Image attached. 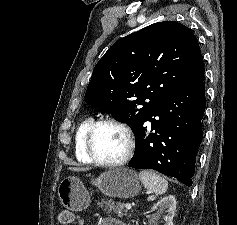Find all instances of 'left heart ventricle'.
<instances>
[{"label":"left heart ventricle","instance_id":"b2bd125f","mask_svg":"<svg viewBox=\"0 0 237 225\" xmlns=\"http://www.w3.org/2000/svg\"><path fill=\"white\" fill-rule=\"evenodd\" d=\"M124 133L112 125L98 127L93 138V149L98 158L106 161L120 159L126 152Z\"/></svg>","mask_w":237,"mask_h":225}]
</instances>
